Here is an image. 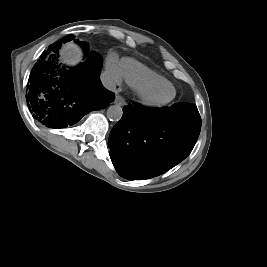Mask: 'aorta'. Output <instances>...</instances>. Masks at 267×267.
<instances>
[{
	"label": "aorta",
	"mask_w": 267,
	"mask_h": 267,
	"mask_svg": "<svg viewBox=\"0 0 267 267\" xmlns=\"http://www.w3.org/2000/svg\"><path fill=\"white\" fill-rule=\"evenodd\" d=\"M107 118L111 121H119L122 118L123 110L119 105H112L107 109Z\"/></svg>",
	"instance_id": "762f6f07"
}]
</instances>
